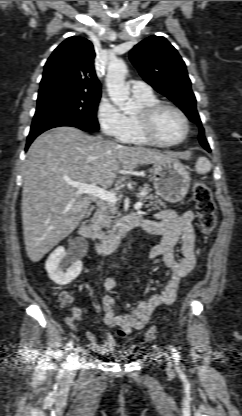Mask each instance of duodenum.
<instances>
[{
	"mask_svg": "<svg viewBox=\"0 0 242 416\" xmlns=\"http://www.w3.org/2000/svg\"><path fill=\"white\" fill-rule=\"evenodd\" d=\"M140 226L143 227V220L140 217L126 216L115 227L113 233L103 240L93 234L86 221H82L78 226V234L80 237L91 241L100 255H108L117 248L120 240L126 233Z\"/></svg>",
	"mask_w": 242,
	"mask_h": 416,
	"instance_id": "duodenum-1",
	"label": "duodenum"
}]
</instances>
